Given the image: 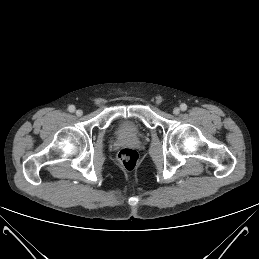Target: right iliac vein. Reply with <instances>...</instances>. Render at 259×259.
I'll return each mask as SVG.
<instances>
[{
  "instance_id": "1",
  "label": "right iliac vein",
  "mask_w": 259,
  "mask_h": 259,
  "mask_svg": "<svg viewBox=\"0 0 259 259\" xmlns=\"http://www.w3.org/2000/svg\"><path fill=\"white\" fill-rule=\"evenodd\" d=\"M82 114H83V111H82V110L79 109V110L76 111V115H77V116H82Z\"/></svg>"
}]
</instances>
